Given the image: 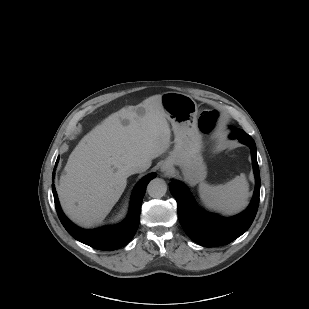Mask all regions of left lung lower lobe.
Wrapping results in <instances>:
<instances>
[{
	"instance_id": "left-lung-lower-lobe-1",
	"label": "left lung lower lobe",
	"mask_w": 309,
	"mask_h": 309,
	"mask_svg": "<svg viewBox=\"0 0 309 309\" xmlns=\"http://www.w3.org/2000/svg\"><path fill=\"white\" fill-rule=\"evenodd\" d=\"M251 149V157L255 174V191L248 208L241 214L222 218L201 211L194 203L186 186L180 182L171 183L170 191L177 201L178 217L185 233L196 243L205 247L226 245L248 230L251 226L259 205L260 173L256 157V145L248 134H232Z\"/></svg>"
}]
</instances>
